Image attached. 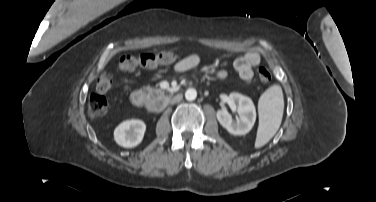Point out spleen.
Instances as JSON below:
<instances>
[{"label": "spleen", "mask_w": 376, "mask_h": 202, "mask_svg": "<svg viewBox=\"0 0 376 202\" xmlns=\"http://www.w3.org/2000/svg\"><path fill=\"white\" fill-rule=\"evenodd\" d=\"M258 109L259 127L255 148H260L269 142L280 127L284 111V100L282 89L279 85L271 86L261 95Z\"/></svg>", "instance_id": "1"}]
</instances>
